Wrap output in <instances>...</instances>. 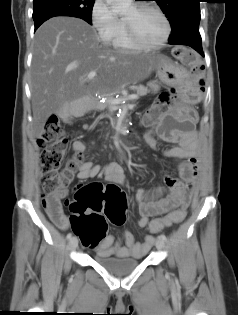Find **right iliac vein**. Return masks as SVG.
<instances>
[{
	"label": "right iliac vein",
	"mask_w": 238,
	"mask_h": 315,
	"mask_svg": "<svg viewBox=\"0 0 238 315\" xmlns=\"http://www.w3.org/2000/svg\"><path fill=\"white\" fill-rule=\"evenodd\" d=\"M70 247L72 249H76L78 247V239H77V237H72L70 239Z\"/></svg>",
	"instance_id": "right-iliac-vein-1"
}]
</instances>
